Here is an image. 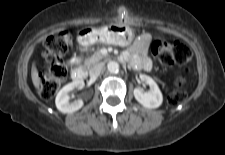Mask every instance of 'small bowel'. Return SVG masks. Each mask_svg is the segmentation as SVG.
I'll return each instance as SVG.
<instances>
[{
    "mask_svg": "<svg viewBox=\"0 0 225 155\" xmlns=\"http://www.w3.org/2000/svg\"><path fill=\"white\" fill-rule=\"evenodd\" d=\"M148 41L146 38L136 40L123 54V59L129 61L135 68L149 71L152 62L147 56Z\"/></svg>",
    "mask_w": 225,
    "mask_h": 155,
    "instance_id": "small-bowel-1",
    "label": "small bowel"
}]
</instances>
